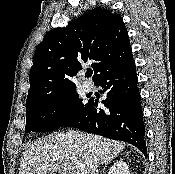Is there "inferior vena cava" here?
Instances as JSON below:
<instances>
[{"label": "inferior vena cava", "instance_id": "1", "mask_svg": "<svg viewBox=\"0 0 175 174\" xmlns=\"http://www.w3.org/2000/svg\"><path fill=\"white\" fill-rule=\"evenodd\" d=\"M98 165H95L94 169H93V174H98Z\"/></svg>", "mask_w": 175, "mask_h": 174}]
</instances>
